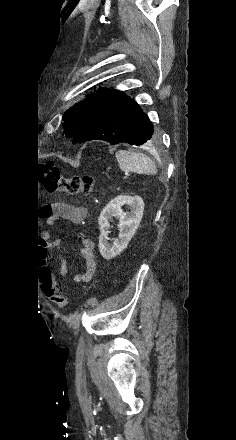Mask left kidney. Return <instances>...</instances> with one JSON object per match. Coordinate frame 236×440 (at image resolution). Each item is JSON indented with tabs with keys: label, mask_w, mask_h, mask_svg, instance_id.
Instances as JSON below:
<instances>
[{
	"label": "left kidney",
	"mask_w": 236,
	"mask_h": 440,
	"mask_svg": "<svg viewBox=\"0 0 236 440\" xmlns=\"http://www.w3.org/2000/svg\"><path fill=\"white\" fill-rule=\"evenodd\" d=\"M126 205L130 212L126 213L122 207ZM144 211V201L140 196L119 195L112 199L101 211L98 218L100 226L99 251L104 259L109 260L120 254L128 245L141 222ZM119 218V239L112 245L108 243L110 229L109 221L112 217Z\"/></svg>",
	"instance_id": "1"
}]
</instances>
